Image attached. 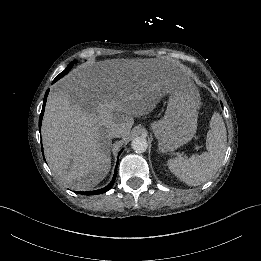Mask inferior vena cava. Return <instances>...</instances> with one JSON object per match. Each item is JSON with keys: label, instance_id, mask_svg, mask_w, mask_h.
Returning <instances> with one entry per match:
<instances>
[{"label": "inferior vena cava", "instance_id": "obj_1", "mask_svg": "<svg viewBox=\"0 0 261 261\" xmlns=\"http://www.w3.org/2000/svg\"><path fill=\"white\" fill-rule=\"evenodd\" d=\"M121 135V128L113 127L108 131V137L116 138L120 137Z\"/></svg>", "mask_w": 261, "mask_h": 261}]
</instances>
